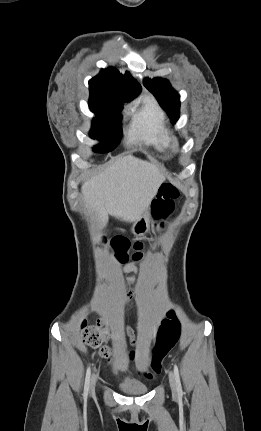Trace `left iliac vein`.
<instances>
[{"label": "left iliac vein", "mask_w": 261, "mask_h": 431, "mask_svg": "<svg viewBox=\"0 0 261 431\" xmlns=\"http://www.w3.org/2000/svg\"><path fill=\"white\" fill-rule=\"evenodd\" d=\"M169 383H170L172 393L176 394V392H177L176 381H175V377L171 371L169 372Z\"/></svg>", "instance_id": "left-iliac-vein-1"}]
</instances>
